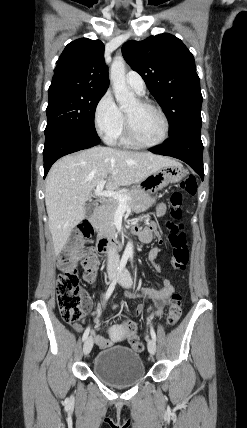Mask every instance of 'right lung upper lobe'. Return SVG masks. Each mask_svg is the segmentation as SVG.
Masks as SVG:
<instances>
[{"label":"right lung upper lobe","mask_w":247,"mask_h":428,"mask_svg":"<svg viewBox=\"0 0 247 428\" xmlns=\"http://www.w3.org/2000/svg\"><path fill=\"white\" fill-rule=\"evenodd\" d=\"M108 68L104 63V44L81 38L69 43L62 52L48 93L67 89L106 91Z\"/></svg>","instance_id":"right-lung-upper-lobe-1"}]
</instances>
